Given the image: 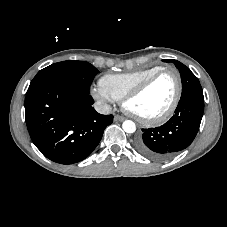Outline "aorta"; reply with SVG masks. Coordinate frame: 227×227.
<instances>
[{
  "mask_svg": "<svg viewBox=\"0 0 227 227\" xmlns=\"http://www.w3.org/2000/svg\"><path fill=\"white\" fill-rule=\"evenodd\" d=\"M122 128L126 133H134L136 131V125L131 120H126L122 124Z\"/></svg>",
  "mask_w": 227,
  "mask_h": 227,
  "instance_id": "aorta-1",
  "label": "aorta"
}]
</instances>
